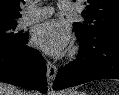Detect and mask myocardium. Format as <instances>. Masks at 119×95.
I'll list each match as a JSON object with an SVG mask.
<instances>
[{
  "mask_svg": "<svg viewBox=\"0 0 119 95\" xmlns=\"http://www.w3.org/2000/svg\"><path fill=\"white\" fill-rule=\"evenodd\" d=\"M79 54V47L78 46H75L72 50H71V52H70V58H76L77 57V55Z\"/></svg>",
  "mask_w": 119,
  "mask_h": 95,
  "instance_id": "obj_1",
  "label": "myocardium"
}]
</instances>
